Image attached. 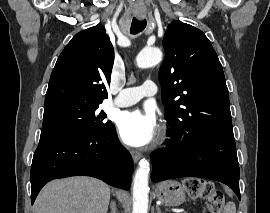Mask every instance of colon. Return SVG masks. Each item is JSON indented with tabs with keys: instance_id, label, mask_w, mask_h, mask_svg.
Wrapping results in <instances>:
<instances>
[{
	"instance_id": "obj_1",
	"label": "colon",
	"mask_w": 270,
	"mask_h": 213,
	"mask_svg": "<svg viewBox=\"0 0 270 213\" xmlns=\"http://www.w3.org/2000/svg\"><path fill=\"white\" fill-rule=\"evenodd\" d=\"M184 188L190 197L201 198L205 201L207 213H221L225 205V197L212 182L200 178H190L185 181Z\"/></svg>"
}]
</instances>
